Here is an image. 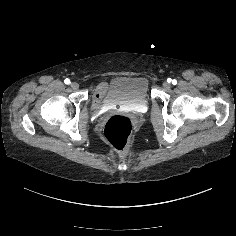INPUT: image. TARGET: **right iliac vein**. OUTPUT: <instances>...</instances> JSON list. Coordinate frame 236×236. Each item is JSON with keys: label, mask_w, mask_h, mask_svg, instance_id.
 I'll list each match as a JSON object with an SVG mask.
<instances>
[{"label": "right iliac vein", "mask_w": 236, "mask_h": 236, "mask_svg": "<svg viewBox=\"0 0 236 236\" xmlns=\"http://www.w3.org/2000/svg\"><path fill=\"white\" fill-rule=\"evenodd\" d=\"M70 87L73 89V90H77L79 89V84L77 82H72L70 84Z\"/></svg>", "instance_id": "1"}]
</instances>
